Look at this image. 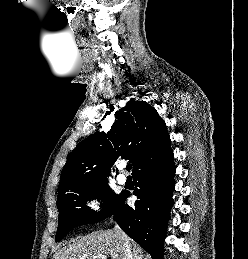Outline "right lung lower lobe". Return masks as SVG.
<instances>
[{"instance_id":"right-lung-lower-lobe-1","label":"right lung lower lobe","mask_w":248,"mask_h":259,"mask_svg":"<svg viewBox=\"0 0 248 259\" xmlns=\"http://www.w3.org/2000/svg\"><path fill=\"white\" fill-rule=\"evenodd\" d=\"M176 167L173 152L145 164L133 173L134 207L125 204L129 193H123L114 215L121 229L134 239L152 259H163V241L170 209L173 205Z\"/></svg>"}]
</instances>
